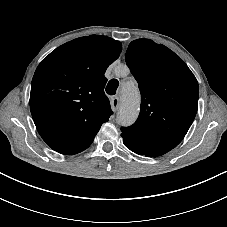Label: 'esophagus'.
<instances>
[{
	"label": "esophagus",
	"instance_id": "obj_1",
	"mask_svg": "<svg viewBox=\"0 0 227 227\" xmlns=\"http://www.w3.org/2000/svg\"><path fill=\"white\" fill-rule=\"evenodd\" d=\"M119 98L116 96V97H113L111 99V107H112V110L113 111H117L118 108H119Z\"/></svg>",
	"mask_w": 227,
	"mask_h": 227
}]
</instances>
